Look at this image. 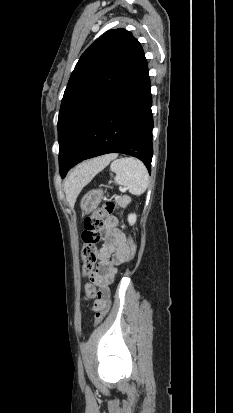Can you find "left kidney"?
Here are the masks:
<instances>
[{"mask_svg": "<svg viewBox=\"0 0 233 413\" xmlns=\"http://www.w3.org/2000/svg\"><path fill=\"white\" fill-rule=\"evenodd\" d=\"M137 216L136 214H130L128 216V222L130 225H133L136 222Z\"/></svg>", "mask_w": 233, "mask_h": 413, "instance_id": "left-kidney-1", "label": "left kidney"}]
</instances>
